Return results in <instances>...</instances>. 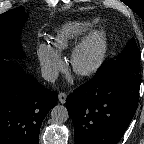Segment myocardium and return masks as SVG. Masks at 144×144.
Segmentation results:
<instances>
[{
  "mask_svg": "<svg viewBox=\"0 0 144 144\" xmlns=\"http://www.w3.org/2000/svg\"><path fill=\"white\" fill-rule=\"evenodd\" d=\"M108 52V36L104 29L90 33L73 49L70 65L78 77H90L102 67Z\"/></svg>",
  "mask_w": 144,
  "mask_h": 144,
  "instance_id": "f54148a6",
  "label": "myocardium"
}]
</instances>
